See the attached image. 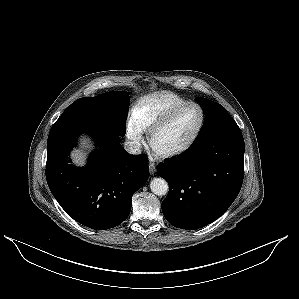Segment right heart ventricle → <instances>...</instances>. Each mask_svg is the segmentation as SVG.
<instances>
[{
  "mask_svg": "<svg viewBox=\"0 0 299 299\" xmlns=\"http://www.w3.org/2000/svg\"><path fill=\"white\" fill-rule=\"evenodd\" d=\"M189 101L172 92H160L140 99L133 115L145 130H149L158 121L162 120L176 108Z\"/></svg>",
  "mask_w": 299,
  "mask_h": 299,
  "instance_id": "1",
  "label": "right heart ventricle"
}]
</instances>
